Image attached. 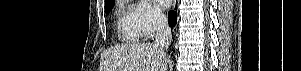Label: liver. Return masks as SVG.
Listing matches in <instances>:
<instances>
[{"label": "liver", "instance_id": "6515ba94", "mask_svg": "<svg viewBox=\"0 0 301 71\" xmlns=\"http://www.w3.org/2000/svg\"><path fill=\"white\" fill-rule=\"evenodd\" d=\"M168 56L153 43L133 42L102 54V71H167Z\"/></svg>", "mask_w": 301, "mask_h": 71}]
</instances>
